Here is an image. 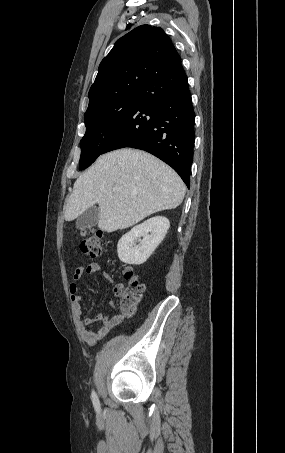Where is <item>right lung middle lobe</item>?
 I'll use <instances>...</instances> for the list:
<instances>
[{
	"mask_svg": "<svg viewBox=\"0 0 285 453\" xmlns=\"http://www.w3.org/2000/svg\"><path fill=\"white\" fill-rule=\"evenodd\" d=\"M140 95V91L126 93L86 111L84 115L86 133L80 142L79 170L89 167L103 154L104 147L121 127Z\"/></svg>",
	"mask_w": 285,
	"mask_h": 453,
	"instance_id": "dd1d6c3e",
	"label": "right lung middle lobe"
}]
</instances>
